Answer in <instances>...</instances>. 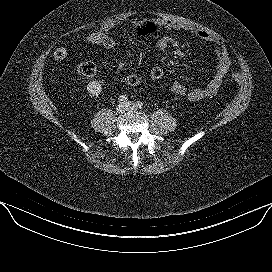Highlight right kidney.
Returning a JSON list of instances; mask_svg holds the SVG:
<instances>
[{
    "label": "right kidney",
    "instance_id": "obj_1",
    "mask_svg": "<svg viewBox=\"0 0 272 272\" xmlns=\"http://www.w3.org/2000/svg\"><path fill=\"white\" fill-rule=\"evenodd\" d=\"M86 90L90 97H98L102 91V84L100 81H90L86 86Z\"/></svg>",
    "mask_w": 272,
    "mask_h": 272
}]
</instances>
